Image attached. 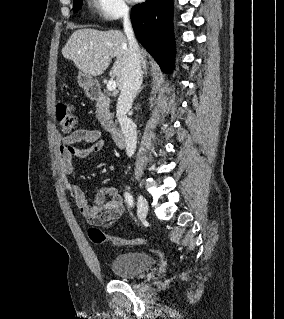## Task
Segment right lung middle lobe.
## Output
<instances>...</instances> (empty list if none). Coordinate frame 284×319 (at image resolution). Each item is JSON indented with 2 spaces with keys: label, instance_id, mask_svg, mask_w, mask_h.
I'll list each match as a JSON object with an SVG mask.
<instances>
[{
  "label": "right lung middle lobe",
  "instance_id": "1",
  "mask_svg": "<svg viewBox=\"0 0 284 319\" xmlns=\"http://www.w3.org/2000/svg\"><path fill=\"white\" fill-rule=\"evenodd\" d=\"M73 10L77 12L81 8V0H74Z\"/></svg>",
  "mask_w": 284,
  "mask_h": 319
}]
</instances>
